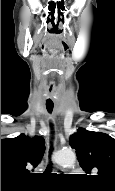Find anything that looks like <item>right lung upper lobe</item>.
Segmentation results:
<instances>
[{
    "label": "right lung upper lobe",
    "mask_w": 115,
    "mask_h": 191,
    "mask_svg": "<svg viewBox=\"0 0 115 191\" xmlns=\"http://www.w3.org/2000/svg\"><path fill=\"white\" fill-rule=\"evenodd\" d=\"M45 151V140L20 134L1 139V188H16L30 175L27 167H36Z\"/></svg>",
    "instance_id": "right-lung-upper-lobe-1"
}]
</instances>
